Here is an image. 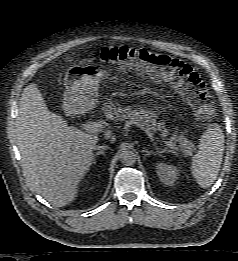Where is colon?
<instances>
[{
  "mask_svg": "<svg viewBox=\"0 0 238 261\" xmlns=\"http://www.w3.org/2000/svg\"><path fill=\"white\" fill-rule=\"evenodd\" d=\"M99 58L122 69H134L170 81L191 106L199 122L208 123L213 119V100L202 78L184 61L143 48L113 46L103 47Z\"/></svg>",
  "mask_w": 238,
  "mask_h": 261,
  "instance_id": "colon-1",
  "label": "colon"
}]
</instances>
